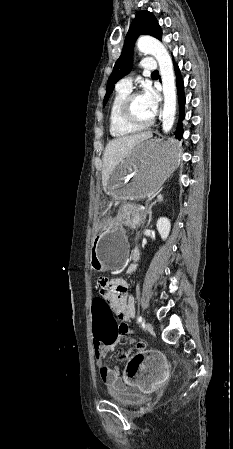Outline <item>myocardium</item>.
<instances>
[{
	"instance_id": "f54148a6",
	"label": "myocardium",
	"mask_w": 233,
	"mask_h": 449,
	"mask_svg": "<svg viewBox=\"0 0 233 449\" xmlns=\"http://www.w3.org/2000/svg\"><path fill=\"white\" fill-rule=\"evenodd\" d=\"M139 95H141V93L138 91L129 92L123 98V100L120 104L119 114H120L121 119L125 123H127L131 126L137 127V128H145V127L150 126L154 122L155 117L153 115L145 121H141L135 117V115L133 114V111H132V103H133V100Z\"/></svg>"
}]
</instances>
